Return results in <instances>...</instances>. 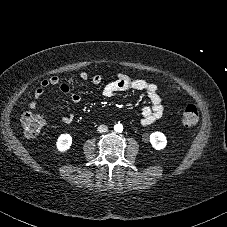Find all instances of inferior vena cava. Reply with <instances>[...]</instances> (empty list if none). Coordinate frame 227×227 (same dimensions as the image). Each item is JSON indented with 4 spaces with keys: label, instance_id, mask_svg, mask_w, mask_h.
Instances as JSON below:
<instances>
[{
    "label": "inferior vena cava",
    "instance_id": "obj_1",
    "mask_svg": "<svg viewBox=\"0 0 227 227\" xmlns=\"http://www.w3.org/2000/svg\"><path fill=\"white\" fill-rule=\"evenodd\" d=\"M97 131L99 133H105L108 131V127L106 125H100L98 128H97Z\"/></svg>",
    "mask_w": 227,
    "mask_h": 227
}]
</instances>
